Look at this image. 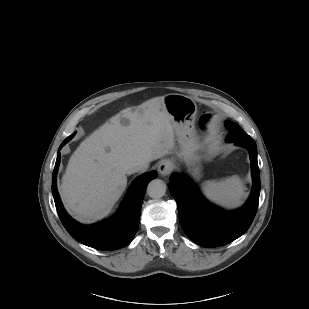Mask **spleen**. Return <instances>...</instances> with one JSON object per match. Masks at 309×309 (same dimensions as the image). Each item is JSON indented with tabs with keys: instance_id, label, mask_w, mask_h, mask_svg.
<instances>
[{
	"instance_id": "spleen-1",
	"label": "spleen",
	"mask_w": 309,
	"mask_h": 309,
	"mask_svg": "<svg viewBox=\"0 0 309 309\" xmlns=\"http://www.w3.org/2000/svg\"><path fill=\"white\" fill-rule=\"evenodd\" d=\"M202 190L207 199L225 208L240 206L246 196L245 186L237 176L220 181H206Z\"/></svg>"
}]
</instances>
